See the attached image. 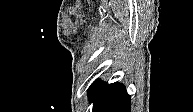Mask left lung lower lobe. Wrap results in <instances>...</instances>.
I'll return each mask as SVG.
<instances>
[{
    "mask_svg": "<svg viewBox=\"0 0 193 112\" xmlns=\"http://www.w3.org/2000/svg\"><path fill=\"white\" fill-rule=\"evenodd\" d=\"M92 112H130V96L123 84L95 80L88 90Z\"/></svg>",
    "mask_w": 193,
    "mask_h": 112,
    "instance_id": "obj_1",
    "label": "left lung lower lobe"
}]
</instances>
